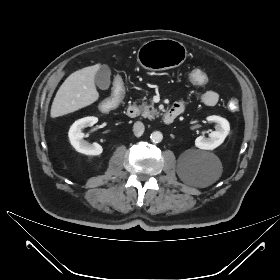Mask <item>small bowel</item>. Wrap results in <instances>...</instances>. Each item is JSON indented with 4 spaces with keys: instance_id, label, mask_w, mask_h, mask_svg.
I'll list each match as a JSON object with an SVG mask.
<instances>
[{
    "instance_id": "small-bowel-1",
    "label": "small bowel",
    "mask_w": 280,
    "mask_h": 280,
    "mask_svg": "<svg viewBox=\"0 0 280 280\" xmlns=\"http://www.w3.org/2000/svg\"><path fill=\"white\" fill-rule=\"evenodd\" d=\"M200 99L201 102L206 106H215L219 101V96L215 91L207 90L202 93ZM173 106L183 109L182 102H176Z\"/></svg>"
}]
</instances>
